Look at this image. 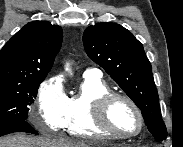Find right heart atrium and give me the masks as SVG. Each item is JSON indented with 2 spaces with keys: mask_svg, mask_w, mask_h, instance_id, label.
Wrapping results in <instances>:
<instances>
[{
  "mask_svg": "<svg viewBox=\"0 0 183 147\" xmlns=\"http://www.w3.org/2000/svg\"><path fill=\"white\" fill-rule=\"evenodd\" d=\"M37 125L57 131L64 127L67 108V96L59 77L44 80L37 91Z\"/></svg>",
  "mask_w": 183,
  "mask_h": 147,
  "instance_id": "obj_1",
  "label": "right heart atrium"
}]
</instances>
